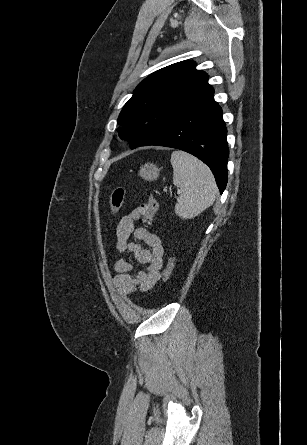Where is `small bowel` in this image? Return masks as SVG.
Masks as SVG:
<instances>
[{"instance_id": "small-bowel-1", "label": "small bowel", "mask_w": 307, "mask_h": 445, "mask_svg": "<svg viewBox=\"0 0 307 445\" xmlns=\"http://www.w3.org/2000/svg\"><path fill=\"white\" fill-rule=\"evenodd\" d=\"M144 211L140 206L130 214L121 218L116 229V249L120 254L133 253L139 263L146 264L144 271L133 275V264L126 259L114 261L113 270L117 273L114 278L115 285L121 294L127 295L139 290L148 291L160 279V270L163 266L164 247L162 240L156 234L145 228L135 229L134 222L142 219ZM134 234L137 241H141L148 248H143L136 241H129Z\"/></svg>"}]
</instances>
